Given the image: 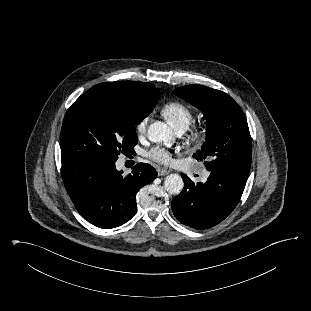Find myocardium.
Returning a JSON list of instances; mask_svg holds the SVG:
<instances>
[{
    "instance_id": "myocardium-1",
    "label": "myocardium",
    "mask_w": 311,
    "mask_h": 311,
    "mask_svg": "<svg viewBox=\"0 0 311 311\" xmlns=\"http://www.w3.org/2000/svg\"><path fill=\"white\" fill-rule=\"evenodd\" d=\"M207 132V125L206 123H199L197 125H194L192 129L190 130L189 138L192 141H200L203 139Z\"/></svg>"
}]
</instances>
